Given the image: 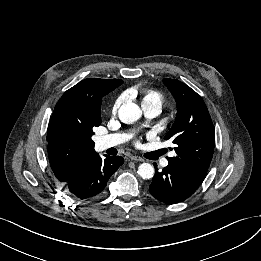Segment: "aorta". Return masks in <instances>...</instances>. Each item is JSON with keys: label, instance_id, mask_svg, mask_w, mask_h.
Returning <instances> with one entry per match:
<instances>
[{"label": "aorta", "instance_id": "obj_1", "mask_svg": "<svg viewBox=\"0 0 261 261\" xmlns=\"http://www.w3.org/2000/svg\"><path fill=\"white\" fill-rule=\"evenodd\" d=\"M141 115L142 110L137 104L133 102L124 103L119 109V118L123 123L126 124L137 121L140 119ZM138 174L143 179H150L154 176V168L149 163H142L138 167Z\"/></svg>", "mask_w": 261, "mask_h": 261}]
</instances>
